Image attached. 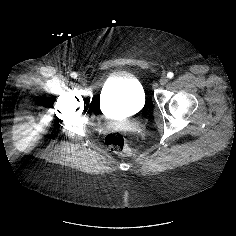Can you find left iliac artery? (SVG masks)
Returning a JSON list of instances; mask_svg holds the SVG:
<instances>
[{
    "instance_id": "left-iliac-artery-1",
    "label": "left iliac artery",
    "mask_w": 236,
    "mask_h": 236,
    "mask_svg": "<svg viewBox=\"0 0 236 236\" xmlns=\"http://www.w3.org/2000/svg\"><path fill=\"white\" fill-rule=\"evenodd\" d=\"M173 76H174V74H173L172 72H168V73H167V77H168V78L171 79V78H173Z\"/></svg>"
}]
</instances>
